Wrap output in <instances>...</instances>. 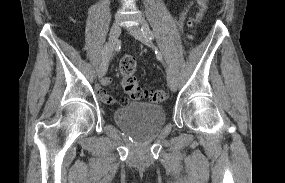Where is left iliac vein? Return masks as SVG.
Wrapping results in <instances>:
<instances>
[{
  "instance_id": "1",
  "label": "left iliac vein",
  "mask_w": 285,
  "mask_h": 183,
  "mask_svg": "<svg viewBox=\"0 0 285 183\" xmlns=\"http://www.w3.org/2000/svg\"><path fill=\"white\" fill-rule=\"evenodd\" d=\"M130 33L132 36H134L139 41L153 48V44L146 38V36L144 35V33L142 32L139 26L132 27L130 29ZM167 83H168L169 88L172 91H176L177 89L176 79L174 75L172 74V72L170 71V69H167Z\"/></svg>"
}]
</instances>
